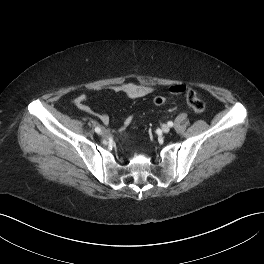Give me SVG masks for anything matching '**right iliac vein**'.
Here are the masks:
<instances>
[{"label":"right iliac vein","mask_w":264,"mask_h":264,"mask_svg":"<svg viewBox=\"0 0 264 264\" xmlns=\"http://www.w3.org/2000/svg\"><path fill=\"white\" fill-rule=\"evenodd\" d=\"M107 134H108L107 130L103 129V130L101 131V135H102V136H107Z\"/></svg>","instance_id":"right-iliac-vein-1"}]
</instances>
